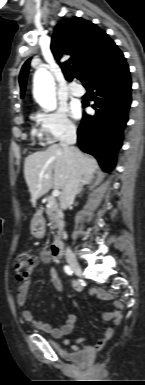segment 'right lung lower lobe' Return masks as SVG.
I'll list each match as a JSON object with an SVG mask.
<instances>
[{"mask_svg":"<svg viewBox=\"0 0 145 385\" xmlns=\"http://www.w3.org/2000/svg\"><path fill=\"white\" fill-rule=\"evenodd\" d=\"M94 116L84 114L78 128V146L94 155L105 171L115 166L116 152L122 145L123 129L131 104V77L127 63L113 73L91 83ZM87 106L83 104V107Z\"/></svg>","mask_w":145,"mask_h":385,"instance_id":"right-lung-lower-lobe-1","label":"right lung lower lobe"}]
</instances>
